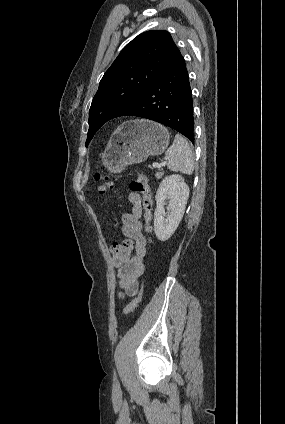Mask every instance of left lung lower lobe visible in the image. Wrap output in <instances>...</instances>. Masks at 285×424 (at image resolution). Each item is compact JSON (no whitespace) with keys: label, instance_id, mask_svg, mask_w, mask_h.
<instances>
[{"label":"left lung lower lobe","instance_id":"left-lung-lower-lobe-1","mask_svg":"<svg viewBox=\"0 0 285 424\" xmlns=\"http://www.w3.org/2000/svg\"><path fill=\"white\" fill-rule=\"evenodd\" d=\"M121 116H136L159 122L194 143L192 90L185 60L177 47L156 80L116 115Z\"/></svg>","mask_w":285,"mask_h":424}]
</instances>
